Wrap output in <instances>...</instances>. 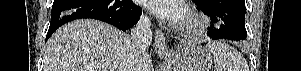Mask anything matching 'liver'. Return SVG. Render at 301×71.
<instances>
[{
  "label": "liver",
  "mask_w": 301,
  "mask_h": 71,
  "mask_svg": "<svg viewBox=\"0 0 301 71\" xmlns=\"http://www.w3.org/2000/svg\"><path fill=\"white\" fill-rule=\"evenodd\" d=\"M132 51L131 37L117 28L90 19L59 28L47 41L44 71H125ZM144 71L151 58L142 56Z\"/></svg>",
  "instance_id": "6515ba94"
}]
</instances>
